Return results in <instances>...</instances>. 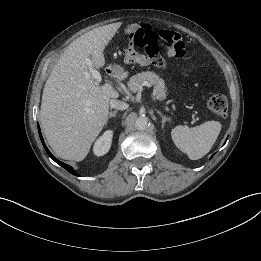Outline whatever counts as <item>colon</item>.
<instances>
[{"instance_id": "colon-1", "label": "colon", "mask_w": 261, "mask_h": 261, "mask_svg": "<svg viewBox=\"0 0 261 261\" xmlns=\"http://www.w3.org/2000/svg\"><path fill=\"white\" fill-rule=\"evenodd\" d=\"M126 29L132 44L144 49L149 62L158 68L165 67V61L160 55L158 37L176 56L182 57L185 54L184 43L179 34L172 32L169 28L152 26L149 19L142 20L140 25L129 23ZM208 108L219 117H225L228 114V102L222 95L212 96L208 100Z\"/></svg>"}]
</instances>
